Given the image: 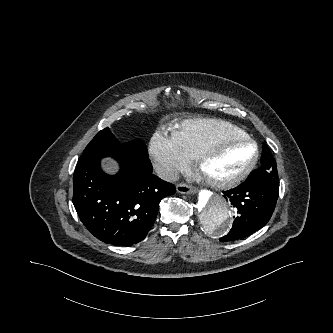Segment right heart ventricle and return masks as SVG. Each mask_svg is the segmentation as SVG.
Masks as SVG:
<instances>
[{"label": "right heart ventricle", "mask_w": 333, "mask_h": 333, "mask_svg": "<svg viewBox=\"0 0 333 333\" xmlns=\"http://www.w3.org/2000/svg\"><path fill=\"white\" fill-rule=\"evenodd\" d=\"M224 134L248 135L234 124L213 118L186 120L171 131L172 138L189 160H193L200 149L213 138Z\"/></svg>", "instance_id": "obj_1"}]
</instances>
